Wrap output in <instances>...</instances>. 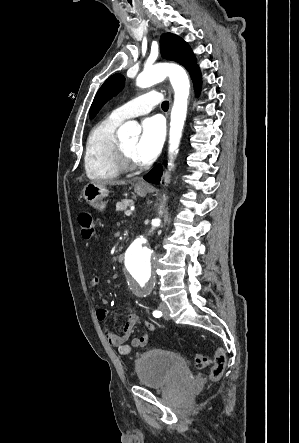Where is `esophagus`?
<instances>
[{
	"instance_id": "esophagus-1",
	"label": "esophagus",
	"mask_w": 299,
	"mask_h": 443,
	"mask_svg": "<svg viewBox=\"0 0 299 443\" xmlns=\"http://www.w3.org/2000/svg\"><path fill=\"white\" fill-rule=\"evenodd\" d=\"M138 185H142V186H147L145 182H143L142 180H139L137 182Z\"/></svg>"
}]
</instances>
